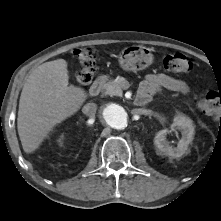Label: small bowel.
<instances>
[{
  "mask_svg": "<svg viewBox=\"0 0 221 221\" xmlns=\"http://www.w3.org/2000/svg\"><path fill=\"white\" fill-rule=\"evenodd\" d=\"M160 88H166L179 93L188 92V86L183 80L164 73H155L146 76L145 80L141 83L140 93L150 96Z\"/></svg>",
  "mask_w": 221,
  "mask_h": 221,
  "instance_id": "small-bowel-1",
  "label": "small bowel"
}]
</instances>
